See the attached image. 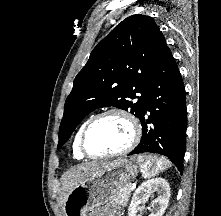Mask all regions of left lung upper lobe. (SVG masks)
Here are the masks:
<instances>
[{"label":"left lung upper lobe","instance_id":"1","mask_svg":"<svg viewBox=\"0 0 221 216\" xmlns=\"http://www.w3.org/2000/svg\"><path fill=\"white\" fill-rule=\"evenodd\" d=\"M166 48L164 35L152 17L136 14L118 24L97 44L74 79L57 147L97 108L114 106L140 118L150 77Z\"/></svg>","mask_w":221,"mask_h":216}]
</instances>
